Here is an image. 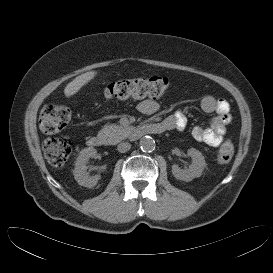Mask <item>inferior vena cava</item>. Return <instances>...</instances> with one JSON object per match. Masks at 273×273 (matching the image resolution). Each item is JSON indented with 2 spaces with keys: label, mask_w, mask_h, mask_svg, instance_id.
<instances>
[{
  "label": "inferior vena cava",
  "mask_w": 273,
  "mask_h": 273,
  "mask_svg": "<svg viewBox=\"0 0 273 273\" xmlns=\"http://www.w3.org/2000/svg\"><path fill=\"white\" fill-rule=\"evenodd\" d=\"M131 148V144L128 142H122L117 146V150L121 153L127 152Z\"/></svg>",
  "instance_id": "1"
}]
</instances>
